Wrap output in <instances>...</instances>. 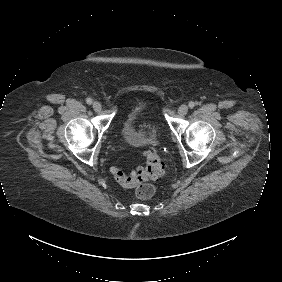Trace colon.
I'll return each mask as SVG.
<instances>
[{
	"label": "colon",
	"mask_w": 282,
	"mask_h": 282,
	"mask_svg": "<svg viewBox=\"0 0 282 282\" xmlns=\"http://www.w3.org/2000/svg\"><path fill=\"white\" fill-rule=\"evenodd\" d=\"M145 165L138 172L127 175L120 167L114 166L111 173L114 179L124 188H132L136 182L141 179H156L162 173L161 157L155 150H148L144 154ZM156 193V186L152 187L151 184H143L139 186L134 192L135 196L141 200H149Z\"/></svg>",
	"instance_id": "colon-1"
}]
</instances>
